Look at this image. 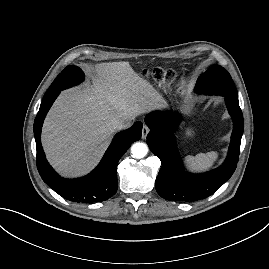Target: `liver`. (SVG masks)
<instances>
[{
    "instance_id": "1",
    "label": "liver",
    "mask_w": 269,
    "mask_h": 269,
    "mask_svg": "<svg viewBox=\"0 0 269 269\" xmlns=\"http://www.w3.org/2000/svg\"><path fill=\"white\" fill-rule=\"evenodd\" d=\"M93 84L65 90L49 111L42 145L63 176H80L100 161L119 122L160 107V93L129 62L96 66Z\"/></svg>"
}]
</instances>
